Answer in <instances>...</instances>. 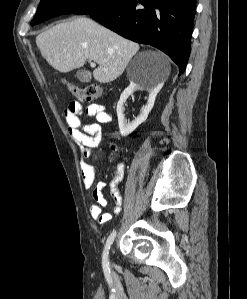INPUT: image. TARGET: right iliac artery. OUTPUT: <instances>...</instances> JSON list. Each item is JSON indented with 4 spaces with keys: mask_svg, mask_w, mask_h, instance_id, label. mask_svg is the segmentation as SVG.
<instances>
[{
    "mask_svg": "<svg viewBox=\"0 0 247 299\" xmlns=\"http://www.w3.org/2000/svg\"><path fill=\"white\" fill-rule=\"evenodd\" d=\"M115 236H116V231H113L106 241L104 252H103L102 263H103V269L106 273H110L109 262H108V252H109V249L114 241Z\"/></svg>",
    "mask_w": 247,
    "mask_h": 299,
    "instance_id": "obj_1",
    "label": "right iliac artery"
}]
</instances>
